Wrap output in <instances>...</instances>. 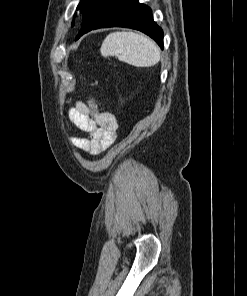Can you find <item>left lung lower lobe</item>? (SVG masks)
<instances>
[{
  "label": "left lung lower lobe",
  "mask_w": 247,
  "mask_h": 296,
  "mask_svg": "<svg viewBox=\"0 0 247 296\" xmlns=\"http://www.w3.org/2000/svg\"><path fill=\"white\" fill-rule=\"evenodd\" d=\"M106 27L142 31L163 48V30L154 22L152 10L138 0H99L83 15L76 40L91 30Z\"/></svg>",
  "instance_id": "0a47b994"
}]
</instances>
